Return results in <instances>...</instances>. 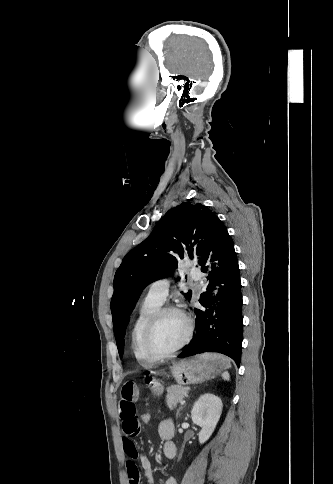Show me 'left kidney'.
<instances>
[{
	"label": "left kidney",
	"mask_w": 333,
	"mask_h": 484,
	"mask_svg": "<svg viewBox=\"0 0 333 484\" xmlns=\"http://www.w3.org/2000/svg\"><path fill=\"white\" fill-rule=\"evenodd\" d=\"M222 401L214 394L202 395L193 405L191 418L194 424L201 427L198 434L199 443H205L214 432L222 413Z\"/></svg>",
	"instance_id": "left-kidney-1"
}]
</instances>
